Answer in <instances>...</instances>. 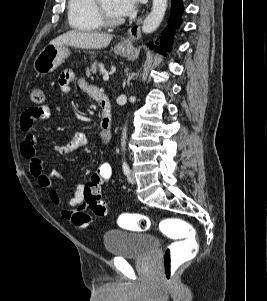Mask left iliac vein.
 I'll return each mask as SVG.
<instances>
[{"instance_id":"left-iliac-vein-1","label":"left iliac vein","mask_w":267,"mask_h":301,"mask_svg":"<svg viewBox=\"0 0 267 301\" xmlns=\"http://www.w3.org/2000/svg\"><path fill=\"white\" fill-rule=\"evenodd\" d=\"M128 181H129L130 184H135L136 183V178H135V175H134L133 172L129 175Z\"/></svg>"}]
</instances>
